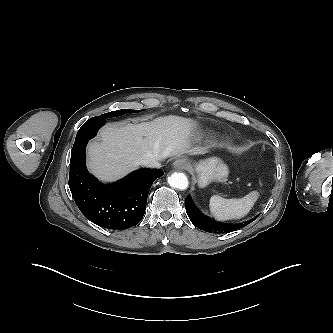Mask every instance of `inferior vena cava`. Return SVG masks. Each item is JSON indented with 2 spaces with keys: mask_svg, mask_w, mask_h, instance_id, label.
<instances>
[{
  "mask_svg": "<svg viewBox=\"0 0 333 333\" xmlns=\"http://www.w3.org/2000/svg\"><path fill=\"white\" fill-rule=\"evenodd\" d=\"M140 164L149 168H159L160 162L155 158H146L140 161Z\"/></svg>",
  "mask_w": 333,
  "mask_h": 333,
  "instance_id": "1",
  "label": "inferior vena cava"
}]
</instances>
